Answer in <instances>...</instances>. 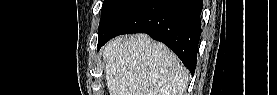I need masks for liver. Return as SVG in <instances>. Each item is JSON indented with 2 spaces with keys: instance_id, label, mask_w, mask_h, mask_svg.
<instances>
[{
  "instance_id": "1",
  "label": "liver",
  "mask_w": 277,
  "mask_h": 95,
  "mask_svg": "<svg viewBox=\"0 0 277 95\" xmlns=\"http://www.w3.org/2000/svg\"><path fill=\"white\" fill-rule=\"evenodd\" d=\"M110 95H184L189 71L147 34L119 36L103 48Z\"/></svg>"
}]
</instances>
